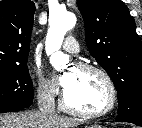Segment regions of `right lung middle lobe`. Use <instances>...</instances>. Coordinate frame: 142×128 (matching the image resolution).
Here are the masks:
<instances>
[{"label":"right lung middle lobe","instance_id":"obj_1","mask_svg":"<svg viewBox=\"0 0 142 128\" xmlns=\"http://www.w3.org/2000/svg\"><path fill=\"white\" fill-rule=\"evenodd\" d=\"M33 83L27 64L0 67V106L29 107L33 103Z\"/></svg>","mask_w":142,"mask_h":128}]
</instances>
